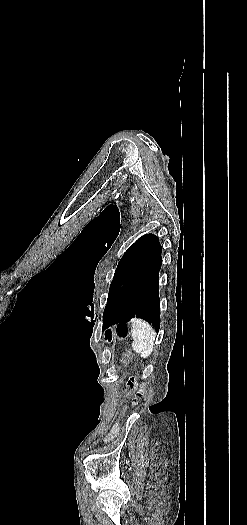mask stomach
<instances>
[{
	"mask_svg": "<svg viewBox=\"0 0 247 525\" xmlns=\"http://www.w3.org/2000/svg\"><path fill=\"white\" fill-rule=\"evenodd\" d=\"M129 329L130 326L128 325L115 326L105 333V338L111 341L112 339H116L118 337H125L128 334Z\"/></svg>",
	"mask_w": 247,
	"mask_h": 525,
	"instance_id": "stomach-1",
	"label": "stomach"
}]
</instances>
